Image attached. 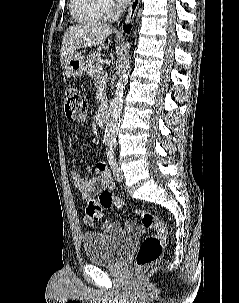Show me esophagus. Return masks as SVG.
Wrapping results in <instances>:
<instances>
[{"instance_id":"obj_1","label":"esophagus","mask_w":239,"mask_h":303,"mask_svg":"<svg viewBox=\"0 0 239 303\" xmlns=\"http://www.w3.org/2000/svg\"><path fill=\"white\" fill-rule=\"evenodd\" d=\"M139 3H140V0H132L131 4L129 6V9H128V13L125 18L126 23H130L134 19L136 12L138 10V7H139ZM117 35H119V36L122 35V31H119L117 33Z\"/></svg>"}]
</instances>
